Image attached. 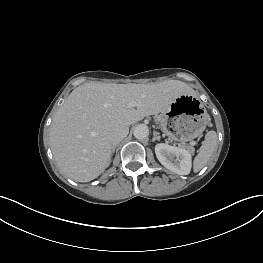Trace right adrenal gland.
<instances>
[{"mask_svg": "<svg viewBox=\"0 0 263 263\" xmlns=\"http://www.w3.org/2000/svg\"><path fill=\"white\" fill-rule=\"evenodd\" d=\"M116 147H117V145H116V146H113L112 153H114V152H115V150H116Z\"/></svg>", "mask_w": 263, "mask_h": 263, "instance_id": "right-adrenal-gland-1", "label": "right adrenal gland"}]
</instances>
